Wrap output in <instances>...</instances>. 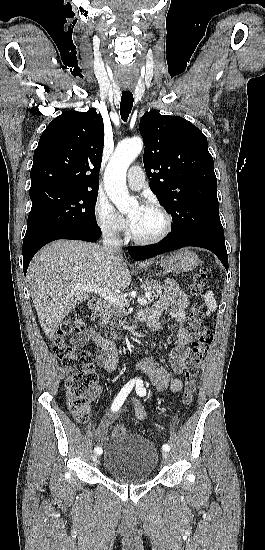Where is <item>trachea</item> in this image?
Here are the masks:
<instances>
[{"label": "trachea", "instance_id": "3493384b", "mask_svg": "<svg viewBox=\"0 0 265 550\" xmlns=\"http://www.w3.org/2000/svg\"><path fill=\"white\" fill-rule=\"evenodd\" d=\"M133 94L131 92H122L120 103V115L123 121H127L133 107Z\"/></svg>", "mask_w": 265, "mask_h": 550}]
</instances>
